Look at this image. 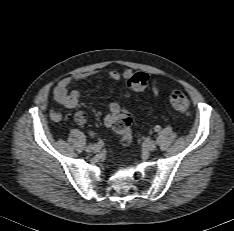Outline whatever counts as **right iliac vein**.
Here are the masks:
<instances>
[{"instance_id": "right-iliac-vein-1", "label": "right iliac vein", "mask_w": 234, "mask_h": 231, "mask_svg": "<svg viewBox=\"0 0 234 231\" xmlns=\"http://www.w3.org/2000/svg\"><path fill=\"white\" fill-rule=\"evenodd\" d=\"M100 150H101V147L99 146V145H94L93 147H89V146H87L86 147V152H95V153H97V152H100Z\"/></svg>"}]
</instances>
